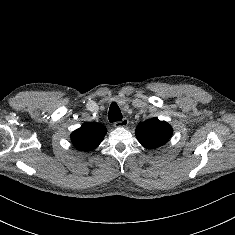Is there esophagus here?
<instances>
[{
  "mask_svg": "<svg viewBox=\"0 0 235 235\" xmlns=\"http://www.w3.org/2000/svg\"><path fill=\"white\" fill-rule=\"evenodd\" d=\"M128 119L127 118H123L121 121H117L114 123L115 127H127L128 126Z\"/></svg>",
  "mask_w": 235,
  "mask_h": 235,
  "instance_id": "34e87169",
  "label": "esophagus"
}]
</instances>
